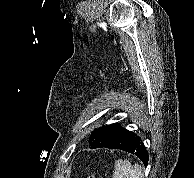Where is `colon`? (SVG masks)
Masks as SVG:
<instances>
[{
  "instance_id": "obj_1",
  "label": "colon",
  "mask_w": 194,
  "mask_h": 178,
  "mask_svg": "<svg viewBox=\"0 0 194 178\" xmlns=\"http://www.w3.org/2000/svg\"><path fill=\"white\" fill-rule=\"evenodd\" d=\"M87 178H94L93 176H88Z\"/></svg>"
}]
</instances>
